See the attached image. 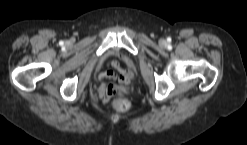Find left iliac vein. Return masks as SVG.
Returning a JSON list of instances; mask_svg holds the SVG:
<instances>
[{
  "label": "left iliac vein",
  "instance_id": "obj_1",
  "mask_svg": "<svg viewBox=\"0 0 247 145\" xmlns=\"http://www.w3.org/2000/svg\"><path fill=\"white\" fill-rule=\"evenodd\" d=\"M166 42L164 40L160 41V46H165Z\"/></svg>",
  "mask_w": 247,
  "mask_h": 145
}]
</instances>
